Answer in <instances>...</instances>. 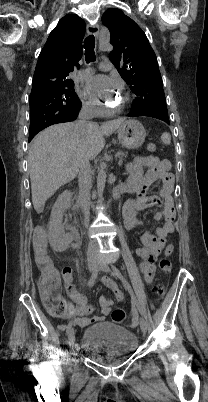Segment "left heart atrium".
Masks as SVG:
<instances>
[{
    "instance_id": "39dd6f15",
    "label": "left heart atrium",
    "mask_w": 208,
    "mask_h": 402,
    "mask_svg": "<svg viewBox=\"0 0 208 402\" xmlns=\"http://www.w3.org/2000/svg\"><path fill=\"white\" fill-rule=\"evenodd\" d=\"M112 87L111 80L105 75H94L87 79L86 86L83 90V96L90 99H96L97 97L103 99L104 95H100L101 92L106 91Z\"/></svg>"
}]
</instances>
